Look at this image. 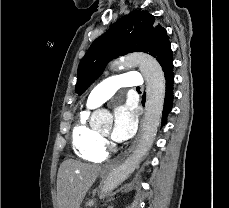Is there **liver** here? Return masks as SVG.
Wrapping results in <instances>:
<instances>
[{
	"mask_svg": "<svg viewBox=\"0 0 229 208\" xmlns=\"http://www.w3.org/2000/svg\"><path fill=\"white\" fill-rule=\"evenodd\" d=\"M99 174H109V170L104 172L101 166L82 164L77 160L62 162L57 176L58 208H80Z\"/></svg>",
	"mask_w": 229,
	"mask_h": 208,
	"instance_id": "6515ba94",
	"label": "liver"
}]
</instances>
